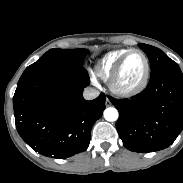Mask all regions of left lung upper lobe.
Listing matches in <instances>:
<instances>
[{
	"instance_id": "5c2ea615",
	"label": "left lung upper lobe",
	"mask_w": 183,
	"mask_h": 183,
	"mask_svg": "<svg viewBox=\"0 0 183 183\" xmlns=\"http://www.w3.org/2000/svg\"><path fill=\"white\" fill-rule=\"evenodd\" d=\"M138 46L146 53L151 65V76L164 70L178 67L162 50L151 45L140 43Z\"/></svg>"
}]
</instances>
